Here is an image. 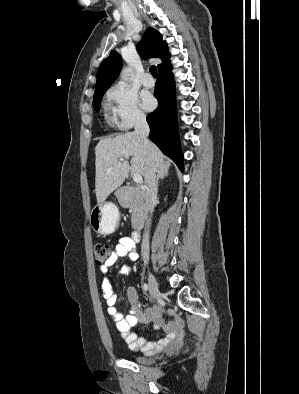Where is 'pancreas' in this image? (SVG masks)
<instances>
[{"instance_id": "pancreas-1", "label": "pancreas", "mask_w": 299, "mask_h": 394, "mask_svg": "<svg viewBox=\"0 0 299 394\" xmlns=\"http://www.w3.org/2000/svg\"><path fill=\"white\" fill-rule=\"evenodd\" d=\"M117 195L123 196L124 201L122 205L128 207L132 213V227L139 229L141 227L139 221L145 217L146 213V205L142 195L137 189L128 186L122 188Z\"/></svg>"}]
</instances>
